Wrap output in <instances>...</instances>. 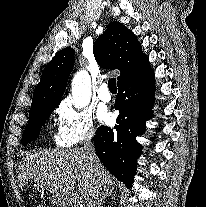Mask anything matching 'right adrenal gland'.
I'll use <instances>...</instances> for the list:
<instances>
[{"label":"right adrenal gland","instance_id":"2a0ac1e0","mask_svg":"<svg viewBox=\"0 0 206 207\" xmlns=\"http://www.w3.org/2000/svg\"><path fill=\"white\" fill-rule=\"evenodd\" d=\"M114 188H105L102 193V198L100 199L101 207L105 203V199H109V197H114L115 193L113 192Z\"/></svg>","mask_w":206,"mask_h":207}]
</instances>
